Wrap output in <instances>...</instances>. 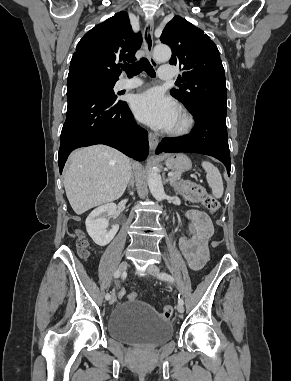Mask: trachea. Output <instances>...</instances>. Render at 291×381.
<instances>
[{
	"instance_id": "trachea-1",
	"label": "trachea",
	"mask_w": 291,
	"mask_h": 381,
	"mask_svg": "<svg viewBox=\"0 0 291 381\" xmlns=\"http://www.w3.org/2000/svg\"><path fill=\"white\" fill-rule=\"evenodd\" d=\"M122 70H124L127 73L128 77H133L138 74H140L143 70L152 78L156 76L155 70L153 69L152 65L149 63L147 58H142L140 61L134 63V64H125L122 66Z\"/></svg>"
}]
</instances>
